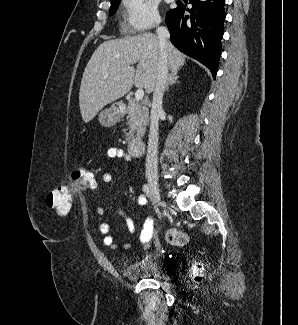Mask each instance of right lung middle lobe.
Masks as SVG:
<instances>
[{
  "label": "right lung middle lobe",
  "instance_id": "right-lung-middle-lobe-1",
  "mask_svg": "<svg viewBox=\"0 0 298 325\" xmlns=\"http://www.w3.org/2000/svg\"><path fill=\"white\" fill-rule=\"evenodd\" d=\"M119 2H120V0L111 3L110 15H113L116 12V9H117V7L119 5Z\"/></svg>",
  "mask_w": 298,
  "mask_h": 325
}]
</instances>
